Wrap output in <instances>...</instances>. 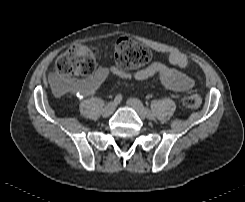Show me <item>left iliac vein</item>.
I'll return each mask as SVG.
<instances>
[{
  "label": "left iliac vein",
  "instance_id": "4c4485c4",
  "mask_svg": "<svg viewBox=\"0 0 245 202\" xmlns=\"http://www.w3.org/2000/svg\"><path fill=\"white\" fill-rule=\"evenodd\" d=\"M127 103L130 107H132L138 113V115L141 119L144 120L147 117L146 112H145V108H144V106L140 100H138L136 98H130V99H128Z\"/></svg>",
  "mask_w": 245,
  "mask_h": 202
}]
</instances>
